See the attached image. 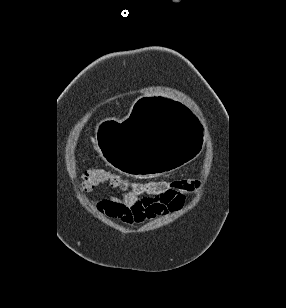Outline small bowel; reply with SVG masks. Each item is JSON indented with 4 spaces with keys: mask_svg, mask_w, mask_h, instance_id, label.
<instances>
[{
    "mask_svg": "<svg viewBox=\"0 0 286 308\" xmlns=\"http://www.w3.org/2000/svg\"><path fill=\"white\" fill-rule=\"evenodd\" d=\"M189 193L171 190L163 197L146 198L131 192L110 198H95L92 203L105 216L133 225L182 209Z\"/></svg>",
    "mask_w": 286,
    "mask_h": 308,
    "instance_id": "obj_1",
    "label": "small bowel"
}]
</instances>
